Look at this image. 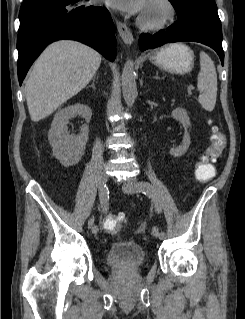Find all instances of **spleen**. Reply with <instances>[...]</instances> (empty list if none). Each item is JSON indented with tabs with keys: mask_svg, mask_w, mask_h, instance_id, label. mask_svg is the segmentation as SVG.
Listing matches in <instances>:
<instances>
[{
	"mask_svg": "<svg viewBox=\"0 0 245 319\" xmlns=\"http://www.w3.org/2000/svg\"><path fill=\"white\" fill-rule=\"evenodd\" d=\"M197 80V88L201 92L198 101L206 111H212L217 97V73L212 59L203 51L200 52V72Z\"/></svg>",
	"mask_w": 245,
	"mask_h": 319,
	"instance_id": "spleen-1",
	"label": "spleen"
}]
</instances>
